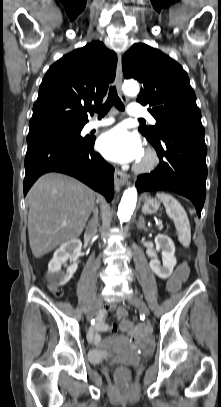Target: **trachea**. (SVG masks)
I'll return each mask as SVG.
<instances>
[{
  "instance_id": "obj_1",
  "label": "trachea",
  "mask_w": 221,
  "mask_h": 407,
  "mask_svg": "<svg viewBox=\"0 0 221 407\" xmlns=\"http://www.w3.org/2000/svg\"><path fill=\"white\" fill-rule=\"evenodd\" d=\"M113 105L120 111H124V109H125L122 101L118 97L115 86L110 87L108 98H107L106 102L99 107H95L93 110L98 113L99 117H103L108 113V111L110 110V108ZM140 120L145 121L144 119H140Z\"/></svg>"
}]
</instances>
